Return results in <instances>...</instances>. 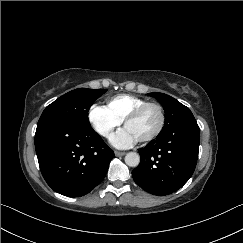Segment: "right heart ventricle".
Returning <instances> with one entry per match:
<instances>
[{
	"instance_id": "right-heart-ventricle-1",
	"label": "right heart ventricle",
	"mask_w": 243,
	"mask_h": 243,
	"mask_svg": "<svg viewBox=\"0 0 243 243\" xmlns=\"http://www.w3.org/2000/svg\"><path fill=\"white\" fill-rule=\"evenodd\" d=\"M145 103H147V100L143 98L130 94H120L110 98L107 107L115 116L124 120L130 112Z\"/></svg>"
}]
</instances>
